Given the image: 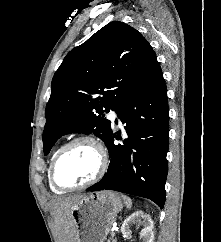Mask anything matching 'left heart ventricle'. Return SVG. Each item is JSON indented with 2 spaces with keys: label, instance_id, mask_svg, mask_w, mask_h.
<instances>
[{
  "label": "left heart ventricle",
  "instance_id": "1",
  "mask_svg": "<svg viewBox=\"0 0 221 242\" xmlns=\"http://www.w3.org/2000/svg\"><path fill=\"white\" fill-rule=\"evenodd\" d=\"M98 164V152L91 143H76L60 159L56 179L64 186L81 184L93 177Z\"/></svg>",
  "mask_w": 221,
  "mask_h": 242
}]
</instances>
